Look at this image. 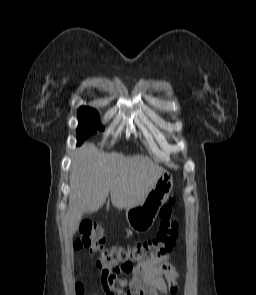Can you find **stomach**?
<instances>
[{
	"instance_id": "stomach-1",
	"label": "stomach",
	"mask_w": 256,
	"mask_h": 295,
	"mask_svg": "<svg viewBox=\"0 0 256 295\" xmlns=\"http://www.w3.org/2000/svg\"><path fill=\"white\" fill-rule=\"evenodd\" d=\"M172 188V176L163 171L145 200L126 209L125 215L129 227L135 232L148 231L153 226L158 212L166 202Z\"/></svg>"
}]
</instances>
